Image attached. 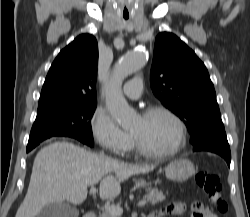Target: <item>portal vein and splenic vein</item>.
<instances>
[{
  "label": "portal vein and splenic vein",
  "mask_w": 250,
  "mask_h": 217,
  "mask_svg": "<svg viewBox=\"0 0 250 217\" xmlns=\"http://www.w3.org/2000/svg\"><path fill=\"white\" fill-rule=\"evenodd\" d=\"M95 193H96V188L94 186H91L89 194L94 195ZM137 205L139 207L145 206L146 205V200L143 199V200L139 201ZM103 208L105 210H107L108 212H110V213H112L114 215H117V216H120L123 213V209L120 206L107 204V205H104Z\"/></svg>",
  "instance_id": "18ae733b"
}]
</instances>
